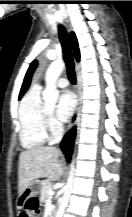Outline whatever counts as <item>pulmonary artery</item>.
Segmentation results:
<instances>
[{"mask_svg":"<svg viewBox=\"0 0 132 217\" xmlns=\"http://www.w3.org/2000/svg\"><path fill=\"white\" fill-rule=\"evenodd\" d=\"M57 85H58V87H60V88L67 87V86H68V81H67V79H65V78H60V79L57 81Z\"/></svg>","mask_w":132,"mask_h":217,"instance_id":"e3ab8cb5","label":"pulmonary artery"}]
</instances>
